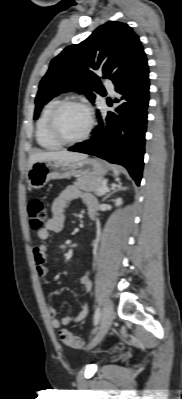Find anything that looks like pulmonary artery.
Returning <instances> with one entry per match:
<instances>
[{
	"label": "pulmonary artery",
	"mask_w": 182,
	"mask_h": 399,
	"mask_svg": "<svg viewBox=\"0 0 182 399\" xmlns=\"http://www.w3.org/2000/svg\"><path fill=\"white\" fill-rule=\"evenodd\" d=\"M105 87L111 94L115 93L114 85L111 81L109 80L105 81Z\"/></svg>",
	"instance_id": "pulmonary-artery-1"
}]
</instances>
